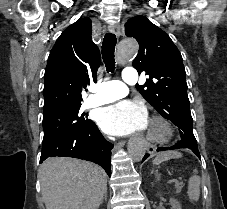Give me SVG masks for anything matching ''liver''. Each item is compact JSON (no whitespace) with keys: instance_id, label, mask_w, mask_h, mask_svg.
<instances>
[{"instance_id":"1","label":"liver","mask_w":227,"mask_h":209,"mask_svg":"<svg viewBox=\"0 0 227 209\" xmlns=\"http://www.w3.org/2000/svg\"><path fill=\"white\" fill-rule=\"evenodd\" d=\"M46 209H99L107 191L101 167L70 157H51L39 169Z\"/></svg>"}]
</instances>
